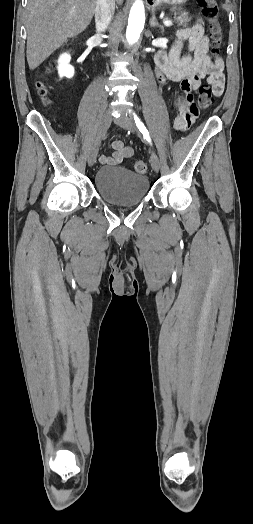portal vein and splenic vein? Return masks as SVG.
I'll return each instance as SVG.
<instances>
[{
  "instance_id": "portal-vein-and-splenic-vein-1",
  "label": "portal vein and splenic vein",
  "mask_w": 253,
  "mask_h": 524,
  "mask_svg": "<svg viewBox=\"0 0 253 524\" xmlns=\"http://www.w3.org/2000/svg\"><path fill=\"white\" fill-rule=\"evenodd\" d=\"M163 23H164L165 26H171L172 25V21L171 20H164Z\"/></svg>"
}]
</instances>
